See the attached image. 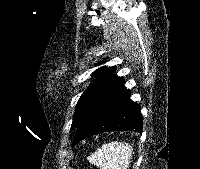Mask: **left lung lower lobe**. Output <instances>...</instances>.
<instances>
[{"instance_id":"left-lung-lower-lobe-1","label":"left lung lower lobe","mask_w":200,"mask_h":169,"mask_svg":"<svg viewBox=\"0 0 200 169\" xmlns=\"http://www.w3.org/2000/svg\"><path fill=\"white\" fill-rule=\"evenodd\" d=\"M130 90L120 86L98 101L76 128L73 146L106 131L142 132L140 105L130 99Z\"/></svg>"}]
</instances>
